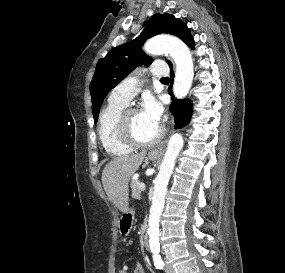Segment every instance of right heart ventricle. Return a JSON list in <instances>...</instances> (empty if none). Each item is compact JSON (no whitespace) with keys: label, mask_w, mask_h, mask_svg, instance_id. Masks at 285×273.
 I'll list each match as a JSON object with an SVG mask.
<instances>
[{"label":"right heart ventricle","mask_w":285,"mask_h":273,"mask_svg":"<svg viewBox=\"0 0 285 273\" xmlns=\"http://www.w3.org/2000/svg\"><path fill=\"white\" fill-rule=\"evenodd\" d=\"M127 104L109 101L100 113L98 123V136L105 151L113 156L129 154L133 148L125 145L118 137L117 122L120 113Z\"/></svg>","instance_id":"1"}]
</instances>
